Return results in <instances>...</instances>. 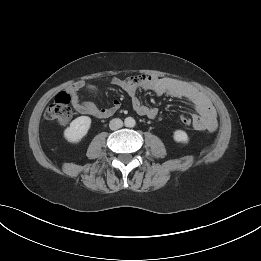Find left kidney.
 Wrapping results in <instances>:
<instances>
[{"mask_svg":"<svg viewBox=\"0 0 261 261\" xmlns=\"http://www.w3.org/2000/svg\"><path fill=\"white\" fill-rule=\"evenodd\" d=\"M173 138L179 143H188L189 141L187 133L183 130H176L173 134Z\"/></svg>","mask_w":261,"mask_h":261,"instance_id":"5707ae66","label":"left kidney"}]
</instances>
